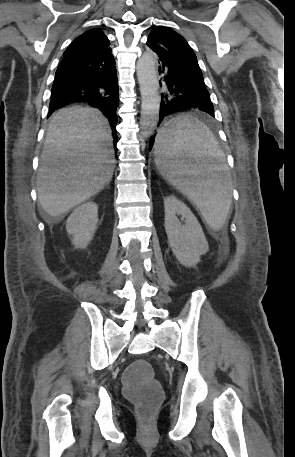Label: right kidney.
Segmentation results:
<instances>
[{
  "label": "right kidney",
  "mask_w": 295,
  "mask_h": 457,
  "mask_svg": "<svg viewBox=\"0 0 295 457\" xmlns=\"http://www.w3.org/2000/svg\"><path fill=\"white\" fill-rule=\"evenodd\" d=\"M98 223V207L94 202H87L69 216L66 222L68 234L73 236L75 248H86L92 240Z\"/></svg>",
  "instance_id": "1"
}]
</instances>
